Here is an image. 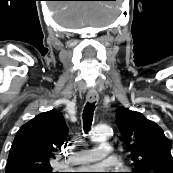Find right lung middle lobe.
<instances>
[{
	"label": "right lung middle lobe",
	"instance_id": "right-lung-middle-lobe-1",
	"mask_svg": "<svg viewBox=\"0 0 173 173\" xmlns=\"http://www.w3.org/2000/svg\"><path fill=\"white\" fill-rule=\"evenodd\" d=\"M32 173H53L51 168L32 171Z\"/></svg>",
	"mask_w": 173,
	"mask_h": 173
}]
</instances>
